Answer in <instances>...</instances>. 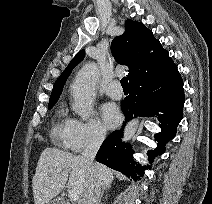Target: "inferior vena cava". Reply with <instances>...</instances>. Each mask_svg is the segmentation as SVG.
Segmentation results:
<instances>
[{
	"instance_id": "inferior-vena-cava-1",
	"label": "inferior vena cava",
	"mask_w": 212,
	"mask_h": 204,
	"mask_svg": "<svg viewBox=\"0 0 212 204\" xmlns=\"http://www.w3.org/2000/svg\"><path fill=\"white\" fill-rule=\"evenodd\" d=\"M104 131H96L87 147L81 153V159L85 162L89 169V177L86 183V189L83 195L82 204H98V199L101 193V186L95 178L94 173V158L105 139Z\"/></svg>"
}]
</instances>
